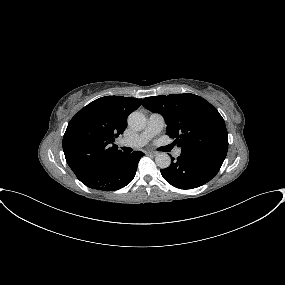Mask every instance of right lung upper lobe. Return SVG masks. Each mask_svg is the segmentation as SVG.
Returning <instances> with one entry per match:
<instances>
[{"label": "right lung upper lobe", "instance_id": "obj_1", "mask_svg": "<svg viewBox=\"0 0 285 285\" xmlns=\"http://www.w3.org/2000/svg\"><path fill=\"white\" fill-rule=\"evenodd\" d=\"M141 102L132 97L105 96L74 115L63 137V151L77 178L124 153L110 144L124 132L128 115Z\"/></svg>", "mask_w": 285, "mask_h": 285}]
</instances>
